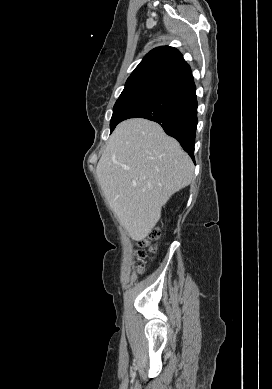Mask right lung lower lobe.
Instances as JSON below:
<instances>
[{
  "label": "right lung lower lobe",
  "instance_id": "1",
  "mask_svg": "<svg viewBox=\"0 0 272 389\" xmlns=\"http://www.w3.org/2000/svg\"><path fill=\"white\" fill-rule=\"evenodd\" d=\"M145 118L159 123L194 160L197 97L192 74L181 77L144 99L123 118Z\"/></svg>",
  "mask_w": 272,
  "mask_h": 389
}]
</instances>
